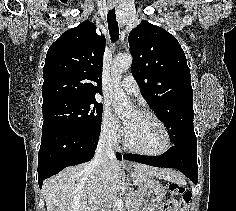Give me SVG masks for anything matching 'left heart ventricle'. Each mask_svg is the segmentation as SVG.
Segmentation results:
<instances>
[{
	"mask_svg": "<svg viewBox=\"0 0 236 211\" xmlns=\"http://www.w3.org/2000/svg\"><path fill=\"white\" fill-rule=\"evenodd\" d=\"M124 122L127 140L133 147L147 152H158L164 147L163 130L151 118L133 111Z\"/></svg>",
	"mask_w": 236,
	"mask_h": 211,
	"instance_id": "b2bd125f",
	"label": "left heart ventricle"
}]
</instances>
